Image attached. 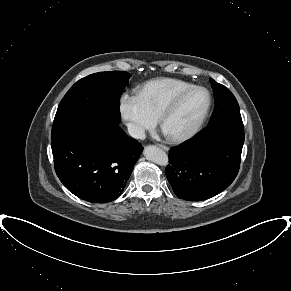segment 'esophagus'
I'll return each mask as SVG.
<instances>
[{
	"mask_svg": "<svg viewBox=\"0 0 291 291\" xmlns=\"http://www.w3.org/2000/svg\"><path fill=\"white\" fill-rule=\"evenodd\" d=\"M158 146H159L161 149L165 150V151H168V150H169V148H168L167 146H165V145L159 144Z\"/></svg>",
	"mask_w": 291,
	"mask_h": 291,
	"instance_id": "obj_1",
	"label": "esophagus"
}]
</instances>
